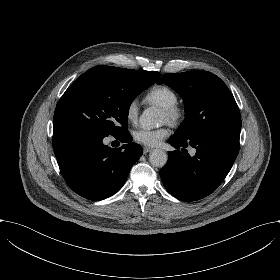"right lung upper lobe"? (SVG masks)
<instances>
[{
	"mask_svg": "<svg viewBox=\"0 0 280 280\" xmlns=\"http://www.w3.org/2000/svg\"><path fill=\"white\" fill-rule=\"evenodd\" d=\"M137 71V70H136ZM141 76L150 80L151 82L156 83L159 78L160 74L156 71H137ZM53 135H56L55 133Z\"/></svg>",
	"mask_w": 280,
	"mask_h": 280,
	"instance_id": "cb5924a9",
	"label": "right lung upper lobe"
}]
</instances>
